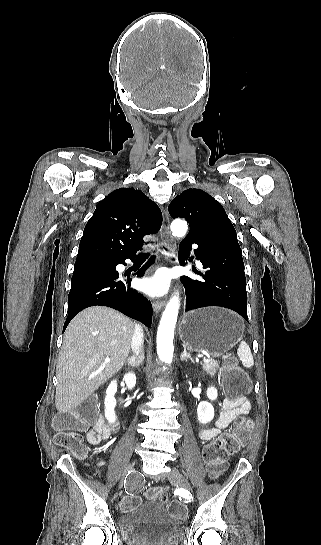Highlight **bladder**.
I'll use <instances>...</instances> for the list:
<instances>
[{"label": "bladder", "instance_id": "31cf9c89", "mask_svg": "<svg viewBox=\"0 0 321 545\" xmlns=\"http://www.w3.org/2000/svg\"><path fill=\"white\" fill-rule=\"evenodd\" d=\"M122 540L128 545H175L183 535V523L155 500L123 511L118 519Z\"/></svg>", "mask_w": 321, "mask_h": 545}]
</instances>
